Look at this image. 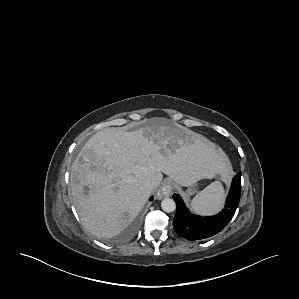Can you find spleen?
<instances>
[{
    "label": "spleen",
    "instance_id": "3e777b00",
    "mask_svg": "<svg viewBox=\"0 0 299 299\" xmlns=\"http://www.w3.org/2000/svg\"><path fill=\"white\" fill-rule=\"evenodd\" d=\"M224 200V189L219 181L213 182L199 192L191 201V208L200 214H213L220 210Z\"/></svg>",
    "mask_w": 299,
    "mask_h": 299
}]
</instances>
